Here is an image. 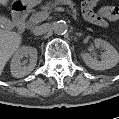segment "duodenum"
I'll return each mask as SVG.
<instances>
[{"mask_svg":"<svg viewBox=\"0 0 119 119\" xmlns=\"http://www.w3.org/2000/svg\"><path fill=\"white\" fill-rule=\"evenodd\" d=\"M28 15V8L22 3H18L14 9V18L20 30L25 28L26 17Z\"/></svg>","mask_w":119,"mask_h":119,"instance_id":"410a0bca","label":"duodenum"}]
</instances>
